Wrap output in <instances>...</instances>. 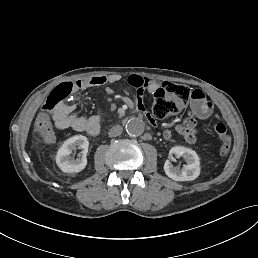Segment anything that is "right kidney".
<instances>
[{
	"mask_svg": "<svg viewBox=\"0 0 258 258\" xmlns=\"http://www.w3.org/2000/svg\"><path fill=\"white\" fill-rule=\"evenodd\" d=\"M76 148L81 149V158L72 159L70 154ZM89 148V141L83 135H76L67 139L59 148L56 155V164L58 167L67 173L80 172L87 165V153Z\"/></svg>",
	"mask_w": 258,
	"mask_h": 258,
	"instance_id": "right-kidney-1",
	"label": "right kidney"
}]
</instances>
